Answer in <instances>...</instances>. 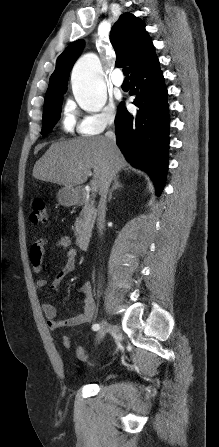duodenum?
I'll return each instance as SVG.
<instances>
[{
	"label": "duodenum",
	"instance_id": "duodenum-1",
	"mask_svg": "<svg viewBox=\"0 0 219 447\" xmlns=\"http://www.w3.org/2000/svg\"><path fill=\"white\" fill-rule=\"evenodd\" d=\"M75 203L79 206H84L87 208H92L93 202L91 198L85 193H76L74 196ZM77 244L81 250H88L91 245V237L88 234H80L77 237Z\"/></svg>",
	"mask_w": 219,
	"mask_h": 447
}]
</instances>
